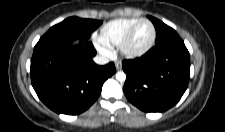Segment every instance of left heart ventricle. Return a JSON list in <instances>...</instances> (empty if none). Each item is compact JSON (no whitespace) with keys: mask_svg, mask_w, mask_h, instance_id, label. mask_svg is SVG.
I'll list each match as a JSON object with an SVG mask.
<instances>
[{"mask_svg":"<svg viewBox=\"0 0 225 132\" xmlns=\"http://www.w3.org/2000/svg\"><path fill=\"white\" fill-rule=\"evenodd\" d=\"M152 29L148 23H140L135 29L130 41V47L139 49L143 47L151 38Z\"/></svg>","mask_w":225,"mask_h":132,"instance_id":"b2bd125f","label":"left heart ventricle"}]
</instances>
